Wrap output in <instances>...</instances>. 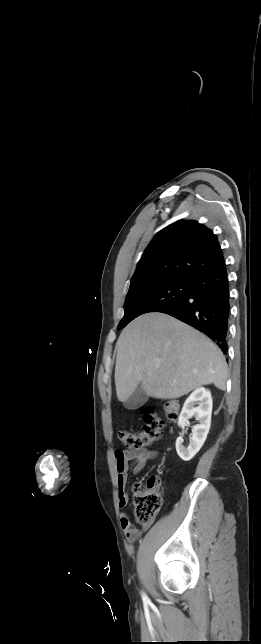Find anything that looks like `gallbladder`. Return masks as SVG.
I'll list each match as a JSON object with an SVG mask.
<instances>
[{
    "mask_svg": "<svg viewBox=\"0 0 261 644\" xmlns=\"http://www.w3.org/2000/svg\"><path fill=\"white\" fill-rule=\"evenodd\" d=\"M148 400V396L141 386H138L133 394L124 402V407L128 410H135L143 406Z\"/></svg>",
    "mask_w": 261,
    "mask_h": 644,
    "instance_id": "gallbladder-1",
    "label": "gallbladder"
}]
</instances>
